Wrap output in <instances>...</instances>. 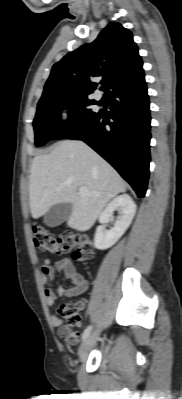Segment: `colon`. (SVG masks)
<instances>
[{
    "label": "colon",
    "mask_w": 182,
    "mask_h": 399,
    "mask_svg": "<svg viewBox=\"0 0 182 399\" xmlns=\"http://www.w3.org/2000/svg\"><path fill=\"white\" fill-rule=\"evenodd\" d=\"M32 237L34 244L43 251L52 254H66L73 252L74 260L78 262H87L93 258V245L86 234L66 232L54 236L47 228L39 224H33ZM80 305H62L59 308V314L66 321L67 328L70 330V338H74L73 327L81 323L79 313Z\"/></svg>",
    "instance_id": "5ec220e1"
}]
</instances>
